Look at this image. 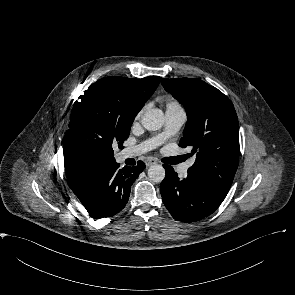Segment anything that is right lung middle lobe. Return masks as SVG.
Listing matches in <instances>:
<instances>
[{
	"label": "right lung middle lobe",
	"mask_w": 295,
	"mask_h": 295,
	"mask_svg": "<svg viewBox=\"0 0 295 295\" xmlns=\"http://www.w3.org/2000/svg\"><path fill=\"white\" fill-rule=\"evenodd\" d=\"M72 108L66 135L96 164L115 161L144 102L130 78L106 77L89 86Z\"/></svg>",
	"instance_id": "dd1d6c3e"
}]
</instances>
